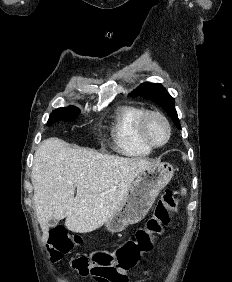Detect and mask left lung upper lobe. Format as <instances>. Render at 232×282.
<instances>
[{
    "instance_id": "obj_1",
    "label": "left lung upper lobe",
    "mask_w": 232,
    "mask_h": 282,
    "mask_svg": "<svg viewBox=\"0 0 232 282\" xmlns=\"http://www.w3.org/2000/svg\"><path fill=\"white\" fill-rule=\"evenodd\" d=\"M130 96L131 97L140 96L160 105L171 117L176 127L180 129L181 126L175 109V100L160 84L144 83L138 88H136L130 94Z\"/></svg>"
}]
</instances>
